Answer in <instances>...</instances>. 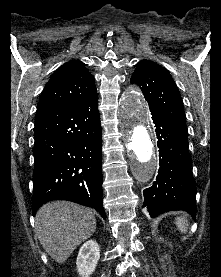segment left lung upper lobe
Returning a JSON list of instances; mask_svg holds the SVG:
<instances>
[{
  "mask_svg": "<svg viewBox=\"0 0 221 277\" xmlns=\"http://www.w3.org/2000/svg\"><path fill=\"white\" fill-rule=\"evenodd\" d=\"M130 82L140 87L149 109L157 111L182 134L188 136L180 92L164 67L149 60H142L137 63Z\"/></svg>",
  "mask_w": 221,
  "mask_h": 277,
  "instance_id": "1",
  "label": "left lung upper lobe"
}]
</instances>
